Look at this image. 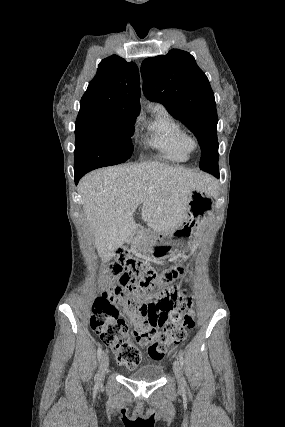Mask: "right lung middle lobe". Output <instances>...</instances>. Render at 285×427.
I'll use <instances>...</instances> for the list:
<instances>
[{
    "label": "right lung middle lobe",
    "instance_id": "1",
    "mask_svg": "<svg viewBox=\"0 0 285 427\" xmlns=\"http://www.w3.org/2000/svg\"><path fill=\"white\" fill-rule=\"evenodd\" d=\"M135 119L75 123L74 171L89 172L128 160L134 149Z\"/></svg>",
    "mask_w": 285,
    "mask_h": 427
}]
</instances>
